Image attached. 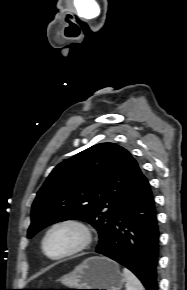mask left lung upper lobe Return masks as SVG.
Returning <instances> with one entry per match:
<instances>
[{"instance_id":"1","label":"left lung upper lobe","mask_w":187,"mask_h":290,"mask_svg":"<svg viewBox=\"0 0 187 290\" xmlns=\"http://www.w3.org/2000/svg\"><path fill=\"white\" fill-rule=\"evenodd\" d=\"M145 179L135 159L114 143L96 144L57 165L32 205L28 238L64 220L89 222L99 245L121 203Z\"/></svg>"}]
</instances>
